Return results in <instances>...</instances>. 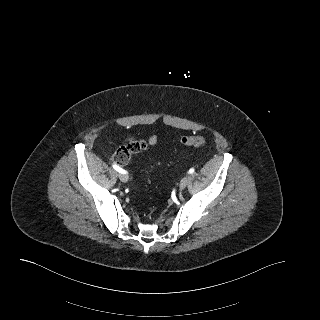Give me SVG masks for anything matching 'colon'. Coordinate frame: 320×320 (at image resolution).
<instances>
[{
	"label": "colon",
	"instance_id": "1",
	"mask_svg": "<svg viewBox=\"0 0 320 320\" xmlns=\"http://www.w3.org/2000/svg\"><path fill=\"white\" fill-rule=\"evenodd\" d=\"M181 143L185 146L204 147L207 145V140L202 136H186L181 139ZM148 147L149 144L144 140L129 142L116 150L113 160L118 165H125L133 154L139 153Z\"/></svg>",
	"mask_w": 320,
	"mask_h": 320
}]
</instances>
